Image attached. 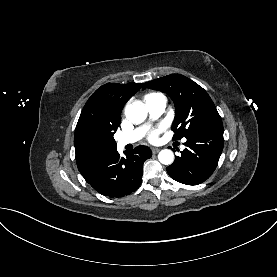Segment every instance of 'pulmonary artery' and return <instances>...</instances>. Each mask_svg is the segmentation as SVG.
<instances>
[{
  "instance_id": "1",
  "label": "pulmonary artery",
  "mask_w": 277,
  "mask_h": 277,
  "mask_svg": "<svg viewBox=\"0 0 277 277\" xmlns=\"http://www.w3.org/2000/svg\"><path fill=\"white\" fill-rule=\"evenodd\" d=\"M146 107L150 116L152 118H157L165 111L166 100L162 95H156V96L150 97L146 99ZM145 130H146V127H141L136 129L131 134L119 138L117 141L118 147L123 148L127 144H132L137 142L143 137Z\"/></svg>"
}]
</instances>
